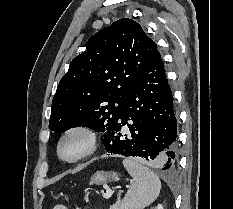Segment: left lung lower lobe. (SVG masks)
<instances>
[{
    "instance_id": "left-lung-lower-lobe-1",
    "label": "left lung lower lobe",
    "mask_w": 233,
    "mask_h": 209,
    "mask_svg": "<svg viewBox=\"0 0 233 209\" xmlns=\"http://www.w3.org/2000/svg\"><path fill=\"white\" fill-rule=\"evenodd\" d=\"M176 136L173 96L157 51L131 87L124 111L105 132L103 143L110 154L139 157L171 170L177 160Z\"/></svg>"
}]
</instances>
